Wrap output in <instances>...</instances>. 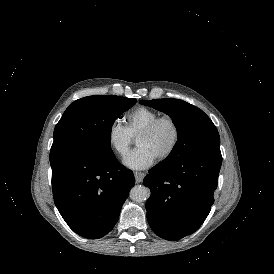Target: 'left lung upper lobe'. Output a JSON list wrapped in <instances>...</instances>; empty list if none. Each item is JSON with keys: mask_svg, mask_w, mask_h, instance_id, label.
Segmentation results:
<instances>
[{"mask_svg": "<svg viewBox=\"0 0 274 274\" xmlns=\"http://www.w3.org/2000/svg\"><path fill=\"white\" fill-rule=\"evenodd\" d=\"M171 117L177 129V142L162 161L170 165L200 152H220L219 133L211 119L199 108L179 99L141 100Z\"/></svg>", "mask_w": 274, "mask_h": 274, "instance_id": "obj_1", "label": "left lung upper lobe"}]
</instances>
